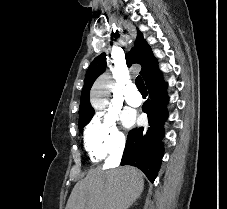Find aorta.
Wrapping results in <instances>:
<instances>
[{
  "mask_svg": "<svg viewBox=\"0 0 227 209\" xmlns=\"http://www.w3.org/2000/svg\"><path fill=\"white\" fill-rule=\"evenodd\" d=\"M111 85V77L108 74L97 79L91 92V102L95 109L102 110L107 105L106 98Z\"/></svg>",
  "mask_w": 227,
  "mask_h": 209,
  "instance_id": "aorta-1",
  "label": "aorta"
}]
</instances>
